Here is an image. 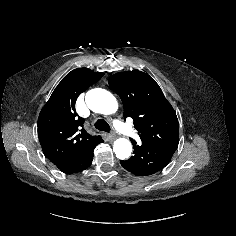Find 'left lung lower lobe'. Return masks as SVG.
Here are the masks:
<instances>
[{"label": "left lung lower lobe", "mask_w": 236, "mask_h": 236, "mask_svg": "<svg viewBox=\"0 0 236 236\" xmlns=\"http://www.w3.org/2000/svg\"><path fill=\"white\" fill-rule=\"evenodd\" d=\"M134 156L121 160V165L136 176H149L161 171L171 160L178 147L177 142L142 143L131 140Z\"/></svg>", "instance_id": "left-lung-lower-lobe-1"}]
</instances>
